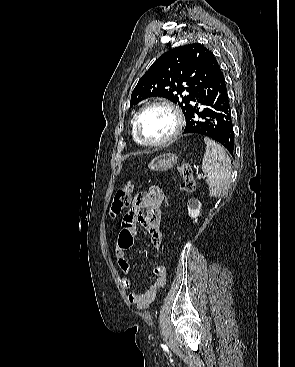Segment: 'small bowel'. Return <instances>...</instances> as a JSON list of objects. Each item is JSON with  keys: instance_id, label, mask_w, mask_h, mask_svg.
Listing matches in <instances>:
<instances>
[{"instance_id": "small-bowel-1", "label": "small bowel", "mask_w": 295, "mask_h": 367, "mask_svg": "<svg viewBox=\"0 0 295 367\" xmlns=\"http://www.w3.org/2000/svg\"><path fill=\"white\" fill-rule=\"evenodd\" d=\"M164 192L156 186L148 191L140 192L133 200L131 210L125 215L122 223V230L115 244V256L120 270L124 274L130 271V263L126 256L125 246L122 242L123 231H128L131 238L136 236L137 225L140 224L149 234L151 243L156 250H160L162 245L161 217H162V197ZM155 281L146 289L140 292H130L128 300L138 309L148 308L156 299V293L163 288L167 280L166 268L158 265L153 269ZM123 287L128 290L131 288L129 278L122 279Z\"/></svg>"}]
</instances>
